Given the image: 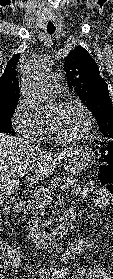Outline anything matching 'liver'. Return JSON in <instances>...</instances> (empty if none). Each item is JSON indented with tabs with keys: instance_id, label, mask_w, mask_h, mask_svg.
I'll return each mask as SVG.
<instances>
[{
	"instance_id": "6515ba94",
	"label": "liver",
	"mask_w": 113,
	"mask_h": 279,
	"mask_svg": "<svg viewBox=\"0 0 113 279\" xmlns=\"http://www.w3.org/2000/svg\"><path fill=\"white\" fill-rule=\"evenodd\" d=\"M70 153L71 150L48 153L26 145L17 137L0 134V207L5 197L18 189L19 172H26L30 175L27 181L38 184L47 179L57 163Z\"/></svg>"
}]
</instances>
